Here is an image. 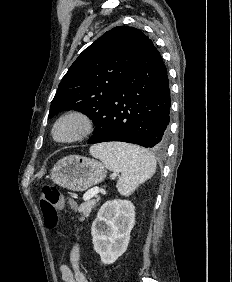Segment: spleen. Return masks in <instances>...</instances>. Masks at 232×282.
I'll list each match as a JSON object with an SVG mask.
<instances>
[{
	"mask_svg": "<svg viewBox=\"0 0 232 282\" xmlns=\"http://www.w3.org/2000/svg\"><path fill=\"white\" fill-rule=\"evenodd\" d=\"M90 153L101 159L107 169L121 173L117 189L124 196H129L156 171L157 163L154 155L139 146L106 143L91 147Z\"/></svg>",
	"mask_w": 232,
	"mask_h": 282,
	"instance_id": "3e777b00",
	"label": "spleen"
}]
</instances>
